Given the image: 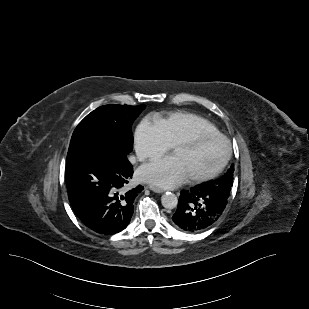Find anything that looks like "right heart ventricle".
<instances>
[{
    "instance_id": "e07e8e85",
    "label": "right heart ventricle",
    "mask_w": 309,
    "mask_h": 309,
    "mask_svg": "<svg viewBox=\"0 0 309 309\" xmlns=\"http://www.w3.org/2000/svg\"><path fill=\"white\" fill-rule=\"evenodd\" d=\"M155 122L160 126L170 145L196 131L219 133L218 128L209 120L190 112H175L159 116Z\"/></svg>"
}]
</instances>
